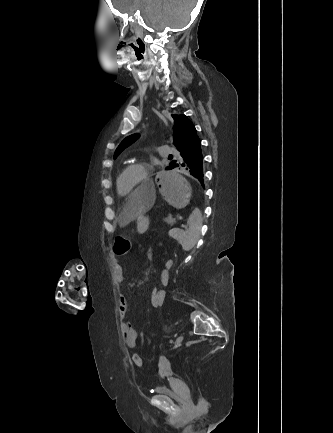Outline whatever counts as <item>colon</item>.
Instances as JSON below:
<instances>
[{
  "label": "colon",
  "mask_w": 333,
  "mask_h": 433,
  "mask_svg": "<svg viewBox=\"0 0 333 433\" xmlns=\"http://www.w3.org/2000/svg\"><path fill=\"white\" fill-rule=\"evenodd\" d=\"M131 244V237L130 236H115L114 240L112 241V248L114 249V254L116 257H121L123 253H126L127 250L130 248ZM166 270H171L173 262L170 259L165 260L164 262ZM149 302L151 303V306L154 309H159L162 306V303L159 299L160 294L157 292V289H152L150 294ZM132 363L137 366H142V359L140 355L134 354L132 356Z\"/></svg>",
  "instance_id": "obj_1"
}]
</instances>
